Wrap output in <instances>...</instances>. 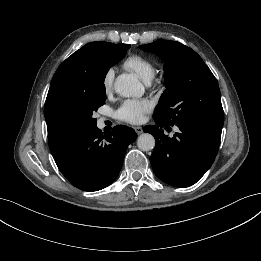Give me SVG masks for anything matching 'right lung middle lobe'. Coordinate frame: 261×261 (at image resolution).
Here are the masks:
<instances>
[{"label":"right lung middle lobe","instance_id":"1","mask_svg":"<svg viewBox=\"0 0 261 261\" xmlns=\"http://www.w3.org/2000/svg\"><path fill=\"white\" fill-rule=\"evenodd\" d=\"M130 48L129 44H114L112 49L97 57L93 67V87L78 96L60 100L52 109L48 124V140L52 151H63L96 127L93 112L104 104L105 76L110 67L119 62Z\"/></svg>","mask_w":261,"mask_h":261}]
</instances>
